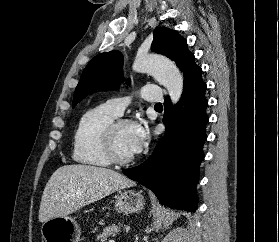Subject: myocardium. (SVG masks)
Here are the masks:
<instances>
[{
  "mask_svg": "<svg viewBox=\"0 0 279 242\" xmlns=\"http://www.w3.org/2000/svg\"><path fill=\"white\" fill-rule=\"evenodd\" d=\"M124 125H135L132 120L117 118L110 122L101 132L103 148L112 163L127 165L135 160V156L122 157L116 150L115 135L117 130Z\"/></svg>",
  "mask_w": 279,
  "mask_h": 242,
  "instance_id": "obj_1",
  "label": "myocardium"
}]
</instances>
